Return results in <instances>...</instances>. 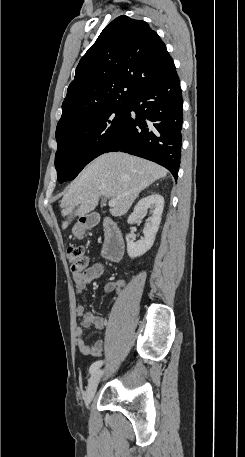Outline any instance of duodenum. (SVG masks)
Segmentation results:
<instances>
[{
    "mask_svg": "<svg viewBox=\"0 0 245 457\" xmlns=\"http://www.w3.org/2000/svg\"><path fill=\"white\" fill-rule=\"evenodd\" d=\"M98 223L96 216L90 215L84 219V224L94 226ZM105 232V243L103 254L110 261H119L124 253V241L122 234L114 221L110 218H104L102 221Z\"/></svg>",
    "mask_w": 245,
    "mask_h": 457,
    "instance_id": "1",
    "label": "duodenum"
}]
</instances>
